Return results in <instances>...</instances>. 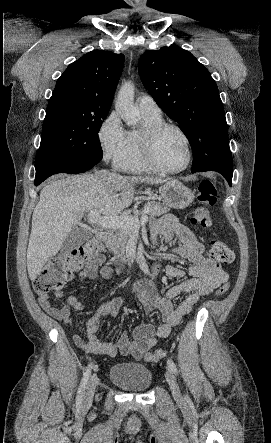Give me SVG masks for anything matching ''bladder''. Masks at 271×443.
I'll return each mask as SVG.
<instances>
[{"label":"bladder","instance_id":"31cf9c89","mask_svg":"<svg viewBox=\"0 0 271 443\" xmlns=\"http://www.w3.org/2000/svg\"><path fill=\"white\" fill-rule=\"evenodd\" d=\"M109 379L118 387L130 392H144L152 383L151 371L138 362H120L109 370Z\"/></svg>","mask_w":271,"mask_h":443}]
</instances>
